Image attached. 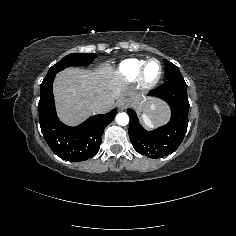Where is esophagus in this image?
Returning <instances> with one entry per match:
<instances>
[{"label":"esophagus","mask_w":236,"mask_h":236,"mask_svg":"<svg viewBox=\"0 0 236 236\" xmlns=\"http://www.w3.org/2000/svg\"><path fill=\"white\" fill-rule=\"evenodd\" d=\"M129 105V101L125 98H120L117 102V107L119 110H125Z\"/></svg>","instance_id":"esophagus-1"}]
</instances>
